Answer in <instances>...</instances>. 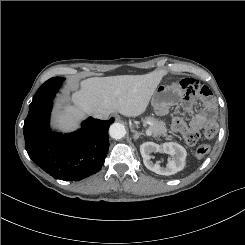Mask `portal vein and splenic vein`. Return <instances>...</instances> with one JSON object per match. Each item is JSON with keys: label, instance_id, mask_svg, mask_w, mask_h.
<instances>
[{"label": "portal vein and splenic vein", "instance_id": "obj_1", "mask_svg": "<svg viewBox=\"0 0 245 245\" xmlns=\"http://www.w3.org/2000/svg\"><path fill=\"white\" fill-rule=\"evenodd\" d=\"M146 134H147L148 136H151V135H152V132L150 131V129H147V130H146Z\"/></svg>", "mask_w": 245, "mask_h": 245}]
</instances>
